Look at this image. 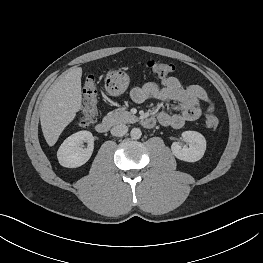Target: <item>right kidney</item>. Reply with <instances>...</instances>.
<instances>
[{"mask_svg":"<svg viewBox=\"0 0 263 263\" xmlns=\"http://www.w3.org/2000/svg\"><path fill=\"white\" fill-rule=\"evenodd\" d=\"M88 143V147L83 149L81 144ZM94 138L89 131H79L69 136L58 149L57 158L60 165L67 168H76L85 164L93 152Z\"/></svg>","mask_w":263,"mask_h":263,"instance_id":"ca27d5eb","label":"right kidney"}]
</instances>
